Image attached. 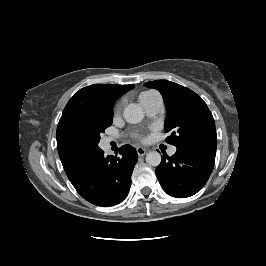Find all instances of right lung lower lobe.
<instances>
[{"mask_svg":"<svg viewBox=\"0 0 266 266\" xmlns=\"http://www.w3.org/2000/svg\"><path fill=\"white\" fill-rule=\"evenodd\" d=\"M119 154L120 157H105L104 151L100 149L82 176L73 183L77 192L88 202L98 206H112L126 198L138 155L130 145L120 147Z\"/></svg>","mask_w":266,"mask_h":266,"instance_id":"obj_1","label":"right lung lower lobe"}]
</instances>
